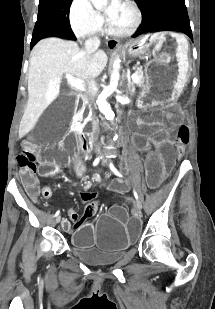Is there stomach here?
I'll return each instance as SVG.
<instances>
[{
    "instance_id": "1",
    "label": "stomach",
    "mask_w": 215,
    "mask_h": 309,
    "mask_svg": "<svg viewBox=\"0 0 215 309\" xmlns=\"http://www.w3.org/2000/svg\"><path fill=\"white\" fill-rule=\"evenodd\" d=\"M153 59L145 66L142 97L151 100H174L182 92L189 70L188 41L176 32L143 35L124 45L131 57Z\"/></svg>"
}]
</instances>
